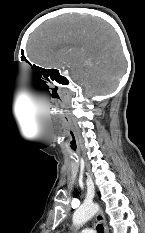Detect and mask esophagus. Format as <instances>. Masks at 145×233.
<instances>
[{"label":"esophagus","mask_w":145,"mask_h":233,"mask_svg":"<svg viewBox=\"0 0 145 233\" xmlns=\"http://www.w3.org/2000/svg\"><path fill=\"white\" fill-rule=\"evenodd\" d=\"M96 220L100 223L103 224L104 226V233H109V230H108V227H107V224H106V220H105V217L102 213V211H99L97 214H96Z\"/></svg>","instance_id":"esophagus-1"}]
</instances>
